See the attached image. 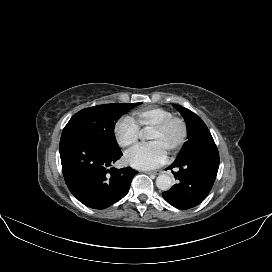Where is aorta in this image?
Returning a JSON list of instances; mask_svg holds the SVG:
<instances>
[{
    "mask_svg": "<svg viewBox=\"0 0 272 272\" xmlns=\"http://www.w3.org/2000/svg\"><path fill=\"white\" fill-rule=\"evenodd\" d=\"M156 186L162 191H167L172 186V178L167 174H161L156 179Z\"/></svg>",
    "mask_w": 272,
    "mask_h": 272,
    "instance_id": "1",
    "label": "aorta"
}]
</instances>
